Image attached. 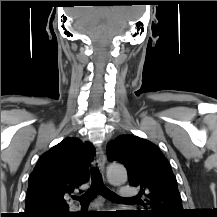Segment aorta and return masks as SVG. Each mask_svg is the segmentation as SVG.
Segmentation results:
<instances>
[{
  "label": "aorta",
  "instance_id": "1",
  "mask_svg": "<svg viewBox=\"0 0 217 217\" xmlns=\"http://www.w3.org/2000/svg\"><path fill=\"white\" fill-rule=\"evenodd\" d=\"M107 178L113 185L123 184L127 181V171L122 165L110 164L107 168Z\"/></svg>",
  "mask_w": 217,
  "mask_h": 217
}]
</instances>
